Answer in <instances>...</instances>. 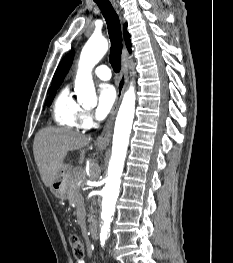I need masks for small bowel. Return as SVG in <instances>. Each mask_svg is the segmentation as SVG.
Segmentation results:
<instances>
[{
	"label": "small bowel",
	"mask_w": 233,
	"mask_h": 263,
	"mask_svg": "<svg viewBox=\"0 0 233 263\" xmlns=\"http://www.w3.org/2000/svg\"><path fill=\"white\" fill-rule=\"evenodd\" d=\"M77 263H88L86 260L77 261Z\"/></svg>",
	"instance_id": "c3829d8e"
}]
</instances>
